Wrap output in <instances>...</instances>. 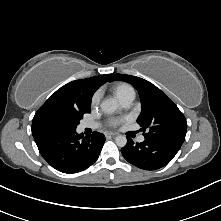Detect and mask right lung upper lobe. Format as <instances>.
Wrapping results in <instances>:
<instances>
[{"instance_id":"1","label":"right lung upper lobe","mask_w":221,"mask_h":221,"mask_svg":"<svg viewBox=\"0 0 221 221\" xmlns=\"http://www.w3.org/2000/svg\"><path fill=\"white\" fill-rule=\"evenodd\" d=\"M112 77L113 74H105L87 79L75 80L58 89L38 109L33 118L32 134L35 142L46 137L36 131L37 120L44 112L49 110H62L89 113L92 95L102 84L111 81Z\"/></svg>"}]
</instances>
